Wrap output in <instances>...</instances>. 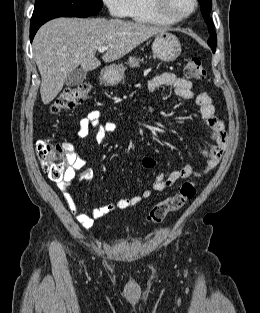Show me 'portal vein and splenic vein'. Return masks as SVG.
<instances>
[{
	"label": "portal vein and splenic vein",
	"mask_w": 260,
	"mask_h": 313,
	"mask_svg": "<svg viewBox=\"0 0 260 313\" xmlns=\"http://www.w3.org/2000/svg\"><path fill=\"white\" fill-rule=\"evenodd\" d=\"M106 50H107V47H106V46H99V47H98V51L101 52V53L104 52V51H106Z\"/></svg>",
	"instance_id": "portal-vein-and-splenic-vein-1"
}]
</instances>
